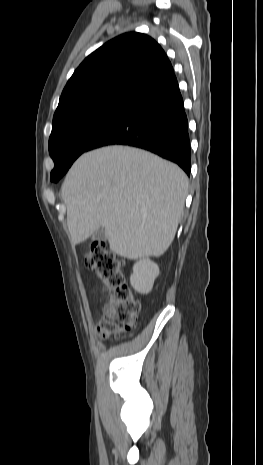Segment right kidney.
I'll return each instance as SVG.
<instances>
[{
  "label": "right kidney",
  "mask_w": 263,
  "mask_h": 465,
  "mask_svg": "<svg viewBox=\"0 0 263 465\" xmlns=\"http://www.w3.org/2000/svg\"><path fill=\"white\" fill-rule=\"evenodd\" d=\"M158 274L157 264L149 259H142L133 266V274L130 276L131 286L140 293H148L152 290Z\"/></svg>",
  "instance_id": "1"
}]
</instances>
